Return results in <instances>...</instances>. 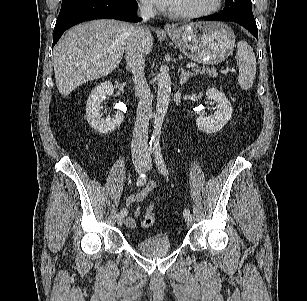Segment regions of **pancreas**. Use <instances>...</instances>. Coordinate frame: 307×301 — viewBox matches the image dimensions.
Segmentation results:
<instances>
[{
    "mask_svg": "<svg viewBox=\"0 0 307 301\" xmlns=\"http://www.w3.org/2000/svg\"><path fill=\"white\" fill-rule=\"evenodd\" d=\"M195 74H206L208 77L216 78L218 76V71L216 69H209V68H195Z\"/></svg>",
    "mask_w": 307,
    "mask_h": 301,
    "instance_id": "1",
    "label": "pancreas"
}]
</instances>
